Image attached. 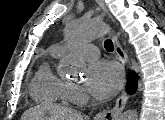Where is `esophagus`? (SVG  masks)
Segmentation results:
<instances>
[{"mask_svg": "<svg viewBox=\"0 0 165 120\" xmlns=\"http://www.w3.org/2000/svg\"><path fill=\"white\" fill-rule=\"evenodd\" d=\"M99 5L101 6L103 10H105V6L102 1H99ZM110 37L113 41L114 50H115L117 58L120 60V62L123 65L130 66L128 56L125 53V51L122 49L117 35L111 31ZM127 100H128V96L124 88L121 94L119 95V97L117 98L115 106L111 110L102 111L98 113L95 116V120H117V118L120 116V114L124 110Z\"/></svg>", "mask_w": 165, "mask_h": 120, "instance_id": "esophagus-1", "label": "esophagus"}]
</instances>
